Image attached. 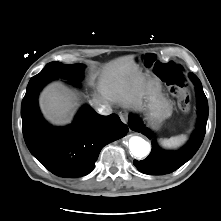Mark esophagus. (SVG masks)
Here are the masks:
<instances>
[{"instance_id":"obj_1","label":"esophagus","mask_w":221,"mask_h":221,"mask_svg":"<svg viewBox=\"0 0 221 221\" xmlns=\"http://www.w3.org/2000/svg\"><path fill=\"white\" fill-rule=\"evenodd\" d=\"M120 119L122 120V122L126 123L127 119H128L127 114L121 113L120 114Z\"/></svg>"}]
</instances>
